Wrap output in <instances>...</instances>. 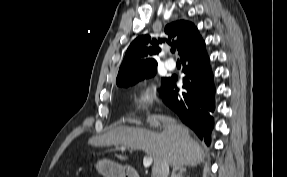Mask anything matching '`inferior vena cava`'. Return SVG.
Here are the masks:
<instances>
[{
    "label": "inferior vena cava",
    "mask_w": 287,
    "mask_h": 177,
    "mask_svg": "<svg viewBox=\"0 0 287 177\" xmlns=\"http://www.w3.org/2000/svg\"><path fill=\"white\" fill-rule=\"evenodd\" d=\"M169 174V162L164 160L157 170L155 177H168Z\"/></svg>",
    "instance_id": "602c4592"
}]
</instances>
